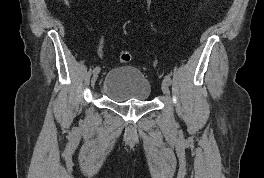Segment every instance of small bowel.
<instances>
[{
    "mask_svg": "<svg viewBox=\"0 0 264 178\" xmlns=\"http://www.w3.org/2000/svg\"><path fill=\"white\" fill-rule=\"evenodd\" d=\"M98 54L102 57L103 56V50H102V48H100L99 50H98Z\"/></svg>",
    "mask_w": 264,
    "mask_h": 178,
    "instance_id": "c3829d8e",
    "label": "small bowel"
}]
</instances>
